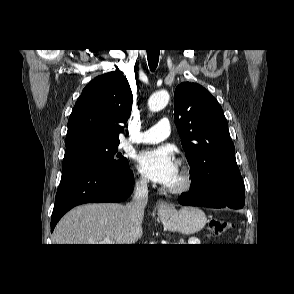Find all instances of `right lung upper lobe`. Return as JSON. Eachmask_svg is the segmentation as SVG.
Segmentation results:
<instances>
[{
    "mask_svg": "<svg viewBox=\"0 0 294 294\" xmlns=\"http://www.w3.org/2000/svg\"><path fill=\"white\" fill-rule=\"evenodd\" d=\"M132 92L117 71L100 75L82 91L68 120L66 144L83 139L119 142L131 114Z\"/></svg>",
    "mask_w": 294,
    "mask_h": 294,
    "instance_id": "obj_1",
    "label": "right lung upper lobe"
}]
</instances>
